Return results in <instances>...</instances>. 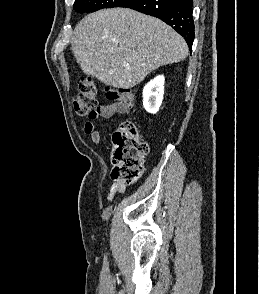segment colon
Returning a JSON list of instances; mask_svg holds the SVG:
<instances>
[{"label":"colon","instance_id":"obj_1","mask_svg":"<svg viewBox=\"0 0 259 294\" xmlns=\"http://www.w3.org/2000/svg\"><path fill=\"white\" fill-rule=\"evenodd\" d=\"M79 92L73 101L74 111L81 117H94L98 108L97 86L90 77L81 78ZM106 97L131 107L134 93L128 88L108 87ZM149 152L148 143L141 137L136 125L123 122L113 136V180L132 185L138 181L144 170V159Z\"/></svg>","mask_w":259,"mask_h":294}]
</instances>
